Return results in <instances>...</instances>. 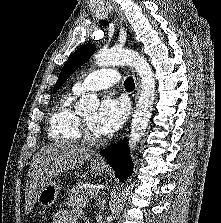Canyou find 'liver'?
<instances>
[{"label": "liver", "mask_w": 221, "mask_h": 223, "mask_svg": "<svg viewBox=\"0 0 221 223\" xmlns=\"http://www.w3.org/2000/svg\"><path fill=\"white\" fill-rule=\"evenodd\" d=\"M95 153L84 146L68 141H55L42 147L33 157L27 175L26 206L30 212L39 192L49 181L89 160Z\"/></svg>", "instance_id": "1"}]
</instances>
